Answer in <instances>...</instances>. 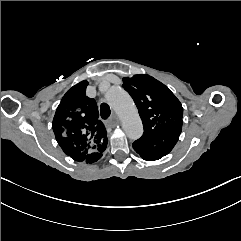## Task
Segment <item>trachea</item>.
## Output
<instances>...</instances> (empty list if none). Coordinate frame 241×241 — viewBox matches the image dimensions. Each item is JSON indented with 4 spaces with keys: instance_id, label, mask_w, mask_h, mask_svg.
Instances as JSON below:
<instances>
[{
    "instance_id": "3493384b",
    "label": "trachea",
    "mask_w": 241,
    "mask_h": 241,
    "mask_svg": "<svg viewBox=\"0 0 241 241\" xmlns=\"http://www.w3.org/2000/svg\"><path fill=\"white\" fill-rule=\"evenodd\" d=\"M100 114L103 119H107L110 116L111 111H110V107L108 106V104H106V103L101 104Z\"/></svg>"
}]
</instances>
